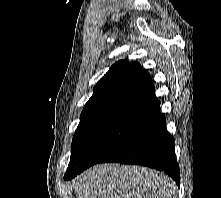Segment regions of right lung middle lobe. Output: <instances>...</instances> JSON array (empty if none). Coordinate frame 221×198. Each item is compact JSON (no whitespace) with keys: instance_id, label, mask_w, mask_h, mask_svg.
Instances as JSON below:
<instances>
[{"instance_id":"dd1d6c3e","label":"right lung middle lobe","mask_w":221,"mask_h":198,"mask_svg":"<svg viewBox=\"0 0 221 198\" xmlns=\"http://www.w3.org/2000/svg\"><path fill=\"white\" fill-rule=\"evenodd\" d=\"M143 122L127 119H104L76 129L65 180H70L88 167L98 163L128 139Z\"/></svg>"}]
</instances>
